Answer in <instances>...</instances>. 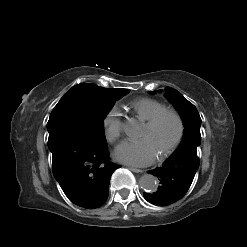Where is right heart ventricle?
I'll list each match as a JSON object with an SVG mask.
<instances>
[{
  "label": "right heart ventricle",
  "mask_w": 247,
  "mask_h": 247,
  "mask_svg": "<svg viewBox=\"0 0 247 247\" xmlns=\"http://www.w3.org/2000/svg\"><path fill=\"white\" fill-rule=\"evenodd\" d=\"M130 107L140 120L147 121L157 112L164 109L165 105L156 99L143 97L134 100Z\"/></svg>",
  "instance_id": "1"
}]
</instances>
